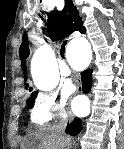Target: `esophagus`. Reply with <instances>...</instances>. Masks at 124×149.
Here are the masks:
<instances>
[{"label": "esophagus", "instance_id": "1", "mask_svg": "<svg viewBox=\"0 0 124 149\" xmlns=\"http://www.w3.org/2000/svg\"><path fill=\"white\" fill-rule=\"evenodd\" d=\"M80 90H81V86L80 84H78L77 91L79 92Z\"/></svg>", "mask_w": 124, "mask_h": 149}]
</instances>
